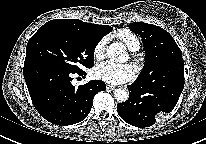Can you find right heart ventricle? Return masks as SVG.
Listing matches in <instances>:
<instances>
[{"label": "right heart ventricle", "mask_w": 206, "mask_h": 144, "mask_svg": "<svg viewBox=\"0 0 206 144\" xmlns=\"http://www.w3.org/2000/svg\"><path fill=\"white\" fill-rule=\"evenodd\" d=\"M114 36L131 51H136L140 48L139 38L128 29H120L114 33Z\"/></svg>", "instance_id": "obj_1"}]
</instances>
